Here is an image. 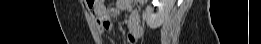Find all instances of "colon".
I'll return each mask as SVG.
<instances>
[{
	"label": "colon",
	"mask_w": 261,
	"mask_h": 44,
	"mask_svg": "<svg viewBox=\"0 0 261 44\" xmlns=\"http://www.w3.org/2000/svg\"><path fill=\"white\" fill-rule=\"evenodd\" d=\"M98 4H102L101 1H88L87 5L88 6H97Z\"/></svg>",
	"instance_id": "5ec220e1"
}]
</instances>
